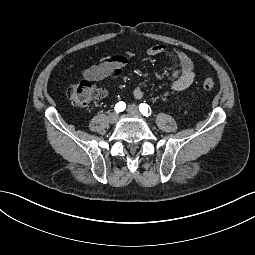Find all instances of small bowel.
<instances>
[{
  "label": "small bowel",
  "instance_id": "c3829d8e",
  "mask_svg": "<svg viewBox=\"0 0 255 255\" xmlns=\"http://www.w3.org/2000/svg\"><path fill=\"white\" fill-rule=\"evenodd\" d=\"M167 51L168 48L165 45L156 44L148 47L146 53L149 56H157ZM174 59L178 68L172 72L173 82L170 88L174 92H180L190 87L194 81V60L191 56L179 50L174 51ZM126 64L127 59L124 56H108L85 69L83 78L88 81H100L115 77L121 74ZM133 96L136 99H141L144 96L143 88L141 86H136L133 89Z\"/></svg>",
  "mask_w": 255,
  "mask_h": 255
}]
</instances>
